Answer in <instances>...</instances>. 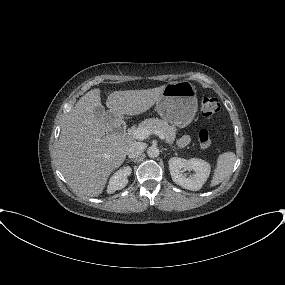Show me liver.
Returning a JSON list of instances; mask_svg holds the SVG:
<instances>
[{
    "label": "liver",
    "instance_id": "liver-1",
    "mask_svg": "<svg viewBox=\"0 0 285 285\" xmlns=\"http://www.w3.org/2000/svg\"><path fill=\"white\" fill-rule=\"evenodd\" d=\"M165 85L147 90L112 92L106 106L115 116L146 112L161 97ZM101 105L100 89L82 96L65 119L58 142L57 159L61 173L77 192L89 197L100 195L108 177L125 160L133 140L105 134L94 115Z\"/></svg>",
    "mask_w": 285,
    "mask_h": 285
}]
</instances>
